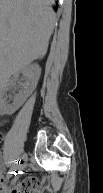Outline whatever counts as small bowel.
Instances as JSON below:
<instances>
[{
    "mask_svg": "<svg viewBox=\"0 0 103 193\" xmlns=\"http://www.w3.org/2000/svg\"><path fill=\"white\" fill-rule=\"evenodd\" d=\"M1 168L2 170L5 169V163H2ZM7 179H8V176L2 175L0 181H1L2 189L6 190L9 193H21L19 191L20 188H24L25 193H43L44 191V185L35 177H28L21 184L13 187H8Z\"/></svg>",
    "mask_w": 103,
    "mask_h": 193,
    "instance_id": "obj_1",
    "label": "small bowel"
}]
</instances>
